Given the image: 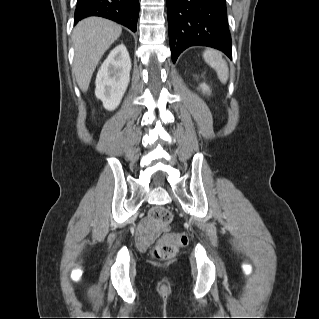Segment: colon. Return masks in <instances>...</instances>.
Wrapping results in <instances>:
<instances>
[{
    "mask_svg": "<svg viewBox=\"0 0 319 319\" xmlns=\"http://www.w3.org/2000/svg\"><path fill=\"white\" fill-rule=\"evenodd\" d=\"M172 215L164 206H156L152 209L149 222L153 225L166 226L171 222ZM188 239L182 233L165 234L152 251L156 261L172 259L178 250L187 245Z\"/></svg>",
    "mask_w": 319,
    "mask_h": 319,
    "instance_id": "5ec220e1",
    "label": "colon"
}]
</instances>
